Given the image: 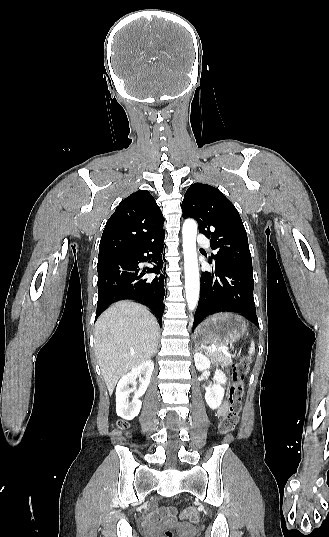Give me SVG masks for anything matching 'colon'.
I'll return each mask as SVG.
<instances>
[{
  "label": "colon",
  "instance_id": "obj_1",
  "mask_svg": "<svg viewBox=\"0 0 329 537\" xmlns=\"http://www.w3.org/2000/svg\"><path fill=\"white\" fill-rule=\"evenodd\" d=\"M248 369L249 361L246 358L241 359L233 367L232 378L234 383L229 393V410L219 426L223 434L231 432L238 423L243 397V380ZM116 426L124 430L128 428V424L121 420L116 422ZM180 518L182 520H188L191 523H196L198 521V513L195 509L189 508L180 514ZM164 535L166 537H174L171 530H166Z\"/></svg>",
  "mask_w": 329,
  "mask_h": 537
}]
</instances>
